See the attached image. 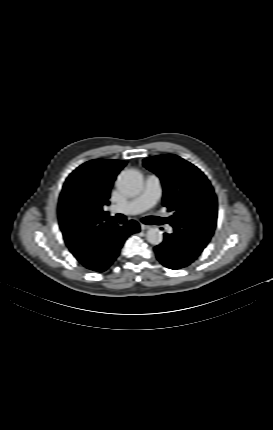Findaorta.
Listing matches in <instances>:
<instances>
[{
  "instance_id": "1",
  "label": "aorta",
  "mask_w": 273,
  "mask_h": 430,
  "mask_svg": "<svg viewBox=\"0 0 273 430\" xmlns=\"http://www.w3.org/2000/svg\"><path fill=\"white\" fill-rule=\"evenodd\" d=\"M118 189L128 195H137L143 185V175L136 169H126L121 172L116 181ZM147 241L152 245H159L163 241L162 231L159 228H151L146 234Z\"/></svg>"
}]
</instances>
